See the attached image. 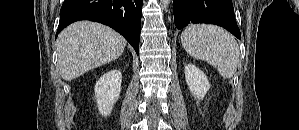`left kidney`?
Returning <instances> with one entry per match:
<instances>
[{
    "mask_svg": "<svg viewBox=\"0 0 299 130\" xmlns=\"http://www.w3.org/2000/svg\"><path fill=\"white\" fill-rule=\"evenodd\" d=\"M185 78L191 93L201 100L210 89L206 75L195 65H185Z\"/></svg>",
    "mask_w": 299,
    "mask_h": 130,
    "instance_id": "5707ae66",
    "label": "left kidney"
}]
</instances>
